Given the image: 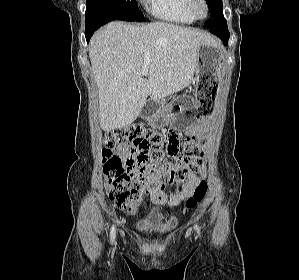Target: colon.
<instances>
[{
  "instance_id": "obj_1",
  "label": "colon",
  "mask_w": 299,
  "mask_h": 280,
  "mask_svg": "<svg viewBox=\"0 0 299 280\" xmlns=\"http://www.w3.org/2000/svg\"><path fill=\"white\" fill-rule=\"evenodd\" d=\"M180 142V135L174 129L162 133L136 124L108 132L104 137L102 160L109 199L118 208L136 214L143 199V175L148 168H160L169 181L192 171L202 159L197 139L191 135L185 138L182 157H178ZM121 146L129 147L127 157L116 153ZM206 192L207 184L201 181L185 202V207H195Z\"/></svg>"
}]
</instances>
